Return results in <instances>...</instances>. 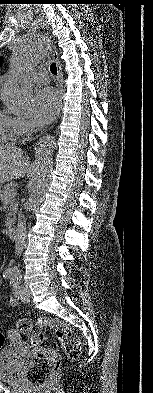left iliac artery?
Instances as JSON below:
<instances>
[{
	"mask_svg": "<svg viewBox=\"0 0 153 393\" xmlns=\"http://www.w3.org/2000/svg\"><path fill=\"white\" fill-rule=\"evenodd\" d=\"M8 279H10V284L13 287V293L15 294V296L19 297V294L21 292L20 291L21 277L18 275H12Z\"/></svg>",
	"mask_w": 153,
	"mask_h": 393,
	"instance_id": "left-iliac-artery-1",
	"label": "left iliac artery"
}]
</instances>
